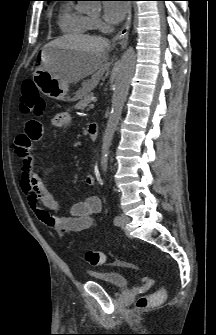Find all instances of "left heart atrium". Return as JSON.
Listing matches in <instances>:
<instances>
[{"label":"left heart atrium","instance_id":"obj_1","mask_svg":"<svg viewBox=\"0 0 216 335\" xmlns=\"http://www.w3.org/2000/svg\"><path fill=\"white\" fill-rule=\"evenodd\" d=\"M129 11L128 4L121 1H106L104 3V18L112 25L121 22Z\"/></svg>","mask_w":216,"mask_h":335}]
</instances>
